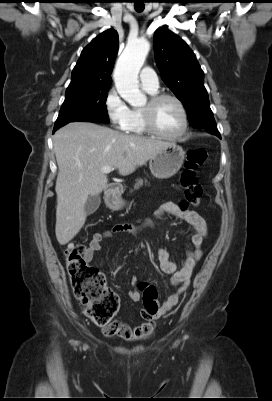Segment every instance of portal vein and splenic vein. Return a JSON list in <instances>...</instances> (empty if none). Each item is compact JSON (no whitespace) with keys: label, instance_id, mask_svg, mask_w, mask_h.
Wrapping results in <instances>:
<instances>
[{"label":"portal vein and splenic vein","instance_id":"portal-vein-and-splenic-vein-1","mask_svg":"<svg viewBox=\"0 0 272 401\" xmlns=\"http://www.w3.org/2000/svg\"><path fill=\"white\" fill-rule=\"evenodd\" d=\"M113 170H114V168L112 166H105V167L102 168V172L105 173V174H108Z\"/></svg>","mask_w":272,"mask_h":401}]
</instances>
